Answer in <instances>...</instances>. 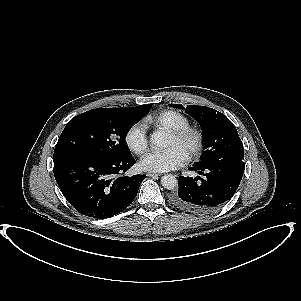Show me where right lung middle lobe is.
<instances>
[{
	"label": "right lung middle lobe",
	"mask_w": 301,
	"mask_h": 301,
	"mask_svg": "<svg viewBox=\"0 0 301 301\" xmlns=\"http://www.w3.org/2000/svg\"><path fill=\"white\" fill-rule=\"evenodd\" d=\"M148 112L124 108H96L71 119L55 146L54 160L74 154L100 157L130 156L125 138Z\"/></svg>",
	"instance_id": "obj_1"
}]
</instances>
